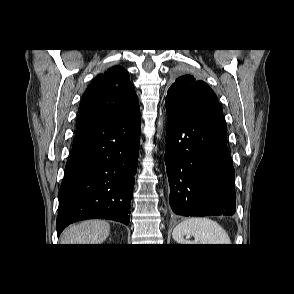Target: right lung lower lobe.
<instances>
[{"instance_id": "1", "label": "right lung lower lobe", "mask_w": 294, "mask_h": 294, "mask_svg": "<svg viewBox=\"0 0 294 294\" xmlns=\"http://www.w3.org/2000/svg\"><path fill=\"white\" fill-rule=\"evenodd\" d=\"M140 129L138 101L111 118L77 125L59 190L58 236L84 219L129 224Z\"/></svg>"}]
</instances>
